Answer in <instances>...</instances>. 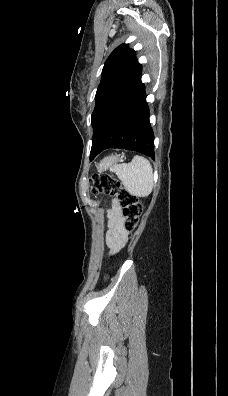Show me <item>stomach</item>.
<instances>
[{"mask_svg":"<svg viewBox=\"0 0 228 396\" xmlns=\"http://www.w3.org/2000/svg\"><path fill=\"white\" fill-rule=\"evenodd\" d=\"M122 161V158L120 156H109L104 158L99 165L97 166V169L99 172H103L108 170L109 168L111 169L113 166L117 165L119 162Z\"/></svg>","mask_w":228,"mask_h":396,"instance_id":"stomach-1","label":"stomach"}]
</instances>
